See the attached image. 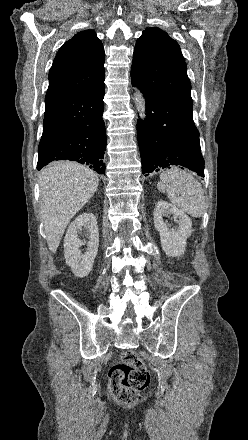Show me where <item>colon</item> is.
I'll list each match as a JSON object with an SVG mask.
<instances>
[{
  "instance_id": "1",
  "label": "colon",
  "mask_w": 248,
  "mask_h": 440,
  "mask_svg": "<svg viewBox=\"0 0 248 440\" xmlns=\"http://www.w3.org/2000/svg\"><path fill=\"white\" fill-rule=\"evenodd\" d=\"M110 391L119 404L131 405L139 400L140 392L150 382V374L142 359L134 350H127L122 361L109 371Z\"/></svg>"
}]
</instances>
